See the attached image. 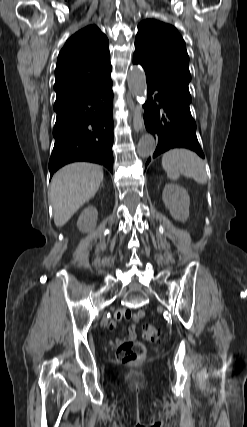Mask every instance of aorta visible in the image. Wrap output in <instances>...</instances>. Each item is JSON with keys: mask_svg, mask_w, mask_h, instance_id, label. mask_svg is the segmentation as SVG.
Listing matches in <instances>:
<instances>
[{"mask_svg": "<svg viewBox=\"0 0 247 427\" xmlns=\"http://www.w3.org/2000/svg\"><path fill=\"white\" fill-rule=\"evenodd\" d=\"M128 87L130 92L138 101H145L147 92V83L145 72L142 68L133 66L128 72ZM156 148V142L151 134H145L139 141L137 153L140 157H148L152 155Z\"/></svg>", "mask_w": 247, "mask_h": 427, "instance_id": "aorta-1", "label": "aorta"}]
</instances>
